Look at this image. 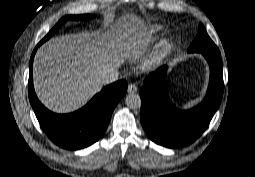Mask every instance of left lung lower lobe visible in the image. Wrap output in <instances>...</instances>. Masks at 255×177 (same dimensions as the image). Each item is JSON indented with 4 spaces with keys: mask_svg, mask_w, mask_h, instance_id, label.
<instances>
[{
    "mask_svg": "<svg viewBox=\"0 0 255 177\" xmlns=\"http://www.w3.org/2000/svg\"><path fill=\"white\" fill-rule=\"evenodd\" d=\"M208 61L211 76L207 95L197 107L181 111L167 94L163 66L146 77L140 90L141 123L149 138L162 146L176 148L195 141L208 126L223 94V73L219 50L200 52Z\"/></svg>",
    "mask_w": 255,
    "mask_h": 177,
    "instance_id": "0a47b994",
    "label": "left lung lower lobe"
}]
</instances>
